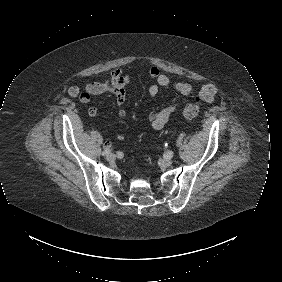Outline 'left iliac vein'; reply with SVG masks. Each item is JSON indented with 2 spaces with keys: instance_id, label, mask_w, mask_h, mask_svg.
<instances>
[{
  "instance_id": "4c4485c4",
  "label": "left iliac vein",
  "mask_w": 282,
  "mask_h": 282,
  "mask_svg": "<svg viewBox=\"0 0 282 282\" xmlns=\"http://www.w3.org/2000/svg\"><path fill=\"white\" fill-rule=\"evenodd\" d=\"M161 165L163 166V167H169V166H171L172 165V160H171V158H164V159H162L161 160Z\"/></svg>"
}]
</instances>
